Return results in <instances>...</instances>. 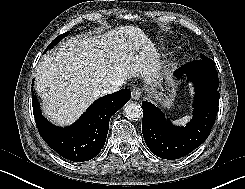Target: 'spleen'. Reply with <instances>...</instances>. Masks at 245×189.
<instances>
[{
    "mask_svg": "<svg viewBox=\"0 0 245 189\" xmlns=\"http://www.w3.org/2000/svg\"><path fill=\"white\" fill-rule=\"evenodd\" d=\"M191 117L189 115H186L184 117H182L181 119L175 120L174 123L180 125H184Z\"/></svg>",
    "mask_w": 245,
    "mask_h": 189,
    "instance_id": "1",
    "label": "spleen"
}]
</instances>
